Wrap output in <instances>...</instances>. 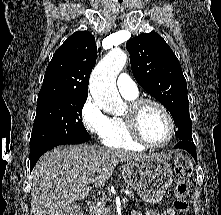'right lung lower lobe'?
Listing matches in <instances>:
<instances>
[{
    "mask_svg": "<svg viewBox=\"0 0 221 215\" xmlns=\"http://www.w3.org/2000/svg\"><path fill=\"white\" fill-rule=\"evenodd\" d=\"M91 138V136L86 135L84 137L81 138H77V139H73V140H69V141H65V142H57V143H50V144H46L34 151L30 152V170L33 169V167L35 166L37 160L40 158V156L42 154H44L46 151L59 146V145H64V144H79V143H83L88 141Z\"/></svg>",
    "mask_w": 221,
    "mask_h": 215,
    "instance_id": "obj_1",
    "label": "right lung lower lobe"
}]
</instances>
